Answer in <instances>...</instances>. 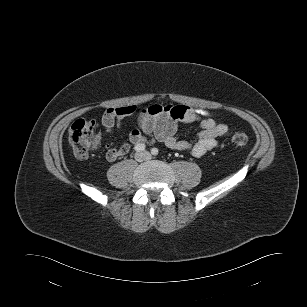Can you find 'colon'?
Segmentation results:
<instances>
[{
  "mask_svg": "<svg viewBox=\"0 0 307 307\" xmlns=\"http://www.w3.org/2000/svg\"><path fill=\"white\" fill-rule=\"evenodd\" d=\"M96 122L94 120L79 119L75 121L69 130V142L78 158H86L90 151L96 148ZM248 135L236 132L231 138V144L235 147H243L248 143Z\"/></svg>",
  "mask_w": 307,
  "mask_h": 307,
  "instance_id": "1",
  "label": "colon"
}]
</instances>
